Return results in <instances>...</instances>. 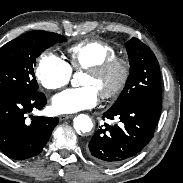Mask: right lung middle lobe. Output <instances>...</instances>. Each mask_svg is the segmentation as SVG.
I'll list each match as a JSON object with an SVG mask.
<instances>
[{
  "instance_id": "obj_1",
  "label": "right lung middle lobe",
  "mask_w": 183,
  "mask_h": 183,
  "mask_svg": "<svg viewBox=\"0 0 183 183\" xmlns=\"http://www.w3.org/2000/svg\"><path fill=\"white\" fill-rule=\"evenodd\" d=\"M60 34L30 31L8 42L0 49V92L38 91L33 67L36 58L57 42H65Z\"/></svg>"
}]
</instances>
